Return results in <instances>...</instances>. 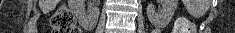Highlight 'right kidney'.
I'll return each mask as SVG.
<instances>
[{
	"instance_id": "ca27d5eb",
	"label": "right kidney",
	"mask_w": 235,
	"mask_h": 33,
	"mask_svg": "<svg viewBox=\"0 0 235 33\" xmlns=\"http://www.w3.org/2000/svg\"><path fill=\"white\" fill-rule=\"evenodd\" d=\"M70 8L74 15L81 21L97 20L100 14L99 8H92L88 13L85 10V0H70Z\"/></svg>"
}]
</instances>
